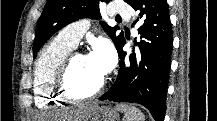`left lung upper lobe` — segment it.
Instances as JSON below:
<instances>
[{"label": "left lung upper lobe", "instance_id": "5c2ea615", "mask_svg": "<svg viewBox=\"0 0 217 121\" xmlns=\"http://www.w3.org/2000/svg\"><path fill=\"white\" fill-rule=\"evenodd\" d=\"M109 0H48L38 20L36 36L33 43L34 56L46 41L64 26L80 18L100 19L99 5ZM129 2L130 0H124ZM112 38L116 48L122 41L123 32L117 33L118 26L109 27L100 22Z\"/></svg>", "mask_w": 217, "mask_h": 121}]
</instances>
